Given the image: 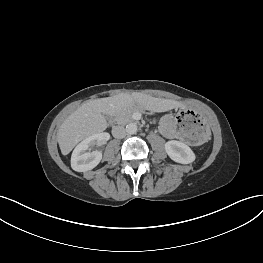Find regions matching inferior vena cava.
<instances>
[{
  "label": "inferior vena cava",
  "instance_id": "602c4592",
  "mask_svg": "<svg viewBox=\"0 0 263 263\" xmlns=\"http://www.w3.org/2000/svg\"><path fill=\"white\" fill-rule=\"evenodd\" d=\"M112 135L118 139L124 138L126 136V129L123 126H115L112 129Z\"/></svg>",
  "mask_w": 263,
  "mask_h": 263
}]
</instances>
